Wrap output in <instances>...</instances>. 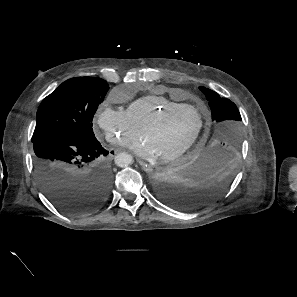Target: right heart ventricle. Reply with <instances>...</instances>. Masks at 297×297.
<instances>
[{
    "label": "right heart ventricle",
    "instance_id": "1",
    "mask_svg": "<svg viewBox=\"0 0 297 297\" xmlns=\"http://www.w3.org/2000/svg\"><path fill=\"white\" fill-rule=\"evenodd\" d=\"M180 104L184 103L171 100L163 95L151 94L132 101L126 113L135 126L141 130L157 112Z\"/></svg>",
    "mask_w": 297,
    "mask_h": 297
}]
</instances>
